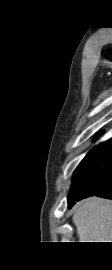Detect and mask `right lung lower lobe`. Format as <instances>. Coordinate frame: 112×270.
Listing matches in <instances>:
<instances>
[{
  "mask_svg": "<svg viewBox=\"0 0 112 270\" xmlns=\"http://www.w3.org/2000/svg\"><path fill=\"white\" fill-rule=\"evenodd\" d=\"M82 185L85 193L75 200L68 201V208H71L76 201L93 195L112 199V147L101 164L82 179Z\"/></svg>",
  "mask_w": 112,
  "mask_h": 270,
  "instance_id": "1",
  "label": "right lung lower lobe"
}]
</instances>
